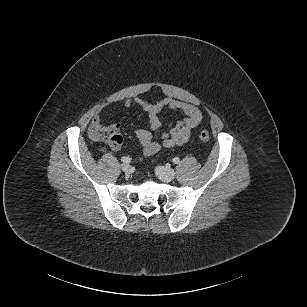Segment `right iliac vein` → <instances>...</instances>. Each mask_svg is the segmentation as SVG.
<instances>
[{
    "mask_svg": "<svg viewBox=\"0 0 307 307\" xmlns=\"http://www.w3.org/2000/svg\"><path fill=\"white\" fill-rule=\"evenodd\" d=\"M121 169L125 172V173H128L130 172V165L128 163H123L121 165Z\"/></svg>",
    "mask_w": 307,
    "mask_h": 307,
    "instance_id": "right-iliac-vein-1",
    "label": "right iliac vein"
}]
</instances>
